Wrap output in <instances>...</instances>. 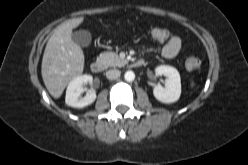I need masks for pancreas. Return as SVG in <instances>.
Returning <instances> with one entry per match:
<instances>
[{"mask_svg": "<svg viewBox=\"0 0 248 165\" xmlns=\"http://www.w3.org/2000/svg\"><path fill=\"white\" fill-rule=\"evenodd\" d=\"M98 59L105 67H122L127 63L125 59H121L114 52H103L99 55Z\"/></svg>", "mask_w": 248, "mask_h": 165, "instance_id": "obj_1", "label": "pancreas"}]
</instances>
